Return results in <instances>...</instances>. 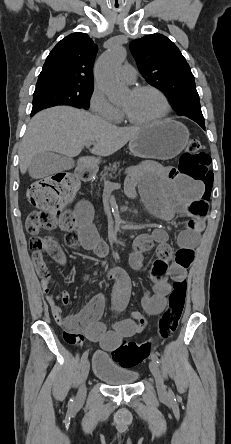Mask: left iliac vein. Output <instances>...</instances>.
<instances>
[{
  "label": "left iliac vein",
  "mask_w": 231,
  "mask_h": 444,
  "mask_svg": "<svg viewBox=\"0 0 231 444\" xmlns=\"http://www.w3.org/2000/svg\"><path fill=\"white\" fill-rule=\"evenodd\" d=\"M149 368H150V371H151L152 375L154 376V379H155V382H156V386H157V390H158L159 395L161 397L166 396V394H167L166 386L164 384L163 377L161 375L159 366L156 363V361H154L152 359L150 361V363H149Z\"/></svg>",
  "instance_id": "4c4485c4"
}]
</instances>
